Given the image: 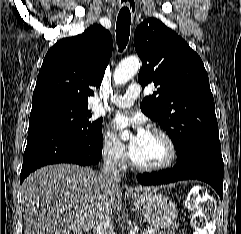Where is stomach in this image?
I'll return each mask as SVG.
<instances>
[{
    "instance_id": "1",
    "label": "stomach",
    "mask_w": 241,
    "mask_h": 234,
    "mask_svg": "<svg viewBox=\"0 0 241 234\" xmlns=\"http://www.w3.org/2000/svg\"><path fill=\"white\" fill-rule=\"evenodd\" d=\"M132 200L138 211L154 228L170 227L177 218L176 204L163 194L149 190L143 194H134Z\"/></svg>"
}]
</instances>
